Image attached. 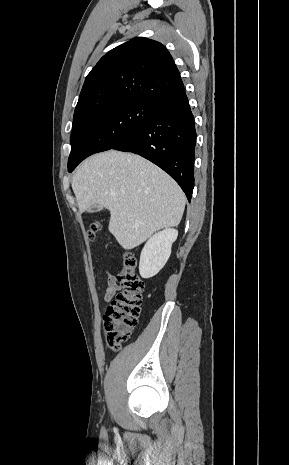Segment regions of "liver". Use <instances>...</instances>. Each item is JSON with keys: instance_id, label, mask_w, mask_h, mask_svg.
I'll list each match as a JSON object with an SVG mask.
<instances>
[{"instance_id": "1", "label": "liver", "mask_w": 289, "mask_h": 465, "mask_svg": "<svg viewBox=\"0 0 289 465\" xmlns=\"http://www.w3.org/2000/svg\"><path fill=\"white\" fill-rule=\"evenodd\" d=\"M72 189L80 213L92 205L110 211L109 231L126 250L177 226L185 208V195L169 175L139 155L116 150L87 158Z\"/></svg>"}]
</instances>
